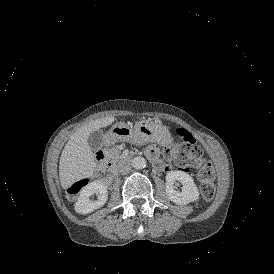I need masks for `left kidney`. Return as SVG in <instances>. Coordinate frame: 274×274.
I'll return each instance as SVG.
<instances>
[{
	"mask_svg": "<svg viewBox=\"0 0 274 274\" xmlns=\"http://www.w3.org/2000/svg\"><path fill=\"white\" fill-rule=\"evenodd\" d=\"M182 184V190H176L175 183ZM166 194L176 204H186L199 197V191L194 184L193 178L183 171H170L166 175Z\"/></svg>",
	"mask_w": 274,
	"mask_h": 274,
	"instance_id": "left-kidney-1",
	"label": "left kidney"
}]
</instances>
